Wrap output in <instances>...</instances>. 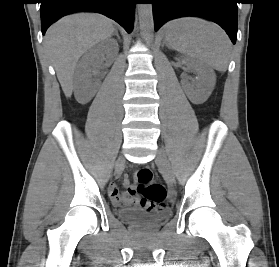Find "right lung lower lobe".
Masks as SVG:
<instances>
[{"label":"right lung lower lobe","mask_w":279,"mask_h":267,"mask_svg":"<svg viewBox=\"0 0 279 267\" xmlns=\"http://www.w3.org/2000/svg\"><path fill=\"white\" fill-rule=\"evenodd\" d=\"M136 0H41V28L48 27L60 17L77 11L102 13L117 21L128 33L133 28Z\"/></svg>","instance_id":"98d812e1"}]
</instances>
